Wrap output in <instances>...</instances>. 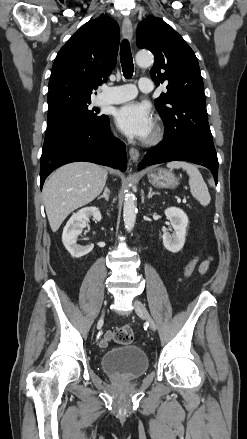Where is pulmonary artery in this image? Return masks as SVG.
<instances>
[{
  "mask_svg": "<svg viewBox=\"0 0 247 439\" xmlns=\"http://www.w3.org/2000/svg\"><path fill=\"white\" fill-rule=\"evenodd\" d=\"M153 82L149 78H141L139 80V89L144 93H149L153 90ZM137 94V89L134 85L126 84L114 87H107L99 99L100 104H119L133 99Z\"/></svg>",
  "mask_w": 247,
  "mask_h": 439,
  "instance_id": "e3ab8cb5",
  "label": "pulmonary artery"
}]
</instances>
